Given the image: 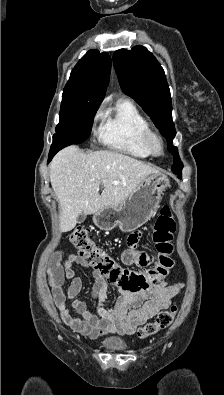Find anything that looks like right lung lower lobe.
I'll return each mask as SVG.
<instances>
[{
	"label": "right lung lower lobe",
	"mask_w": 224,
	"mask_h": 395,
	"mask_svg": "<svg viewBox=\"0 0 224 395\" xmlns=\"http://www.w3.org/2000/svg\"><path fill=\"white\" fill-rule=\"evenodd\" d=\"M68 145H69V144H57V143H54V142H53V144L51 145L50 152H49L48 162L51 161V159L53 158V156H54L59 150H61L62 148L66 147V146H68Z\"/></svg>",
	"instance_id": "right-lung-lower-lobe-1"
}]
</instances>
